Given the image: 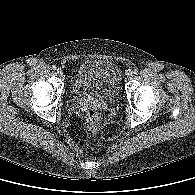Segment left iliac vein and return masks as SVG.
Here are the masks:
<instances>
[{
	"label": "left iliac vein",
	"mask_w": 195,
	"mask_h": 195,
	"mask_svg": "<svg viewBox=\"0 0 195 195\" xmlns=\"http://www.w3.org/2000/svg\"><path fill=\"white\" fill-rule=\"evenodd\" d=\"M132 77H133V73L132 72H130V73L127 74V78L128 79H131Z\"/></svg>",
	"instance_id": "1"
}]
</instances>
